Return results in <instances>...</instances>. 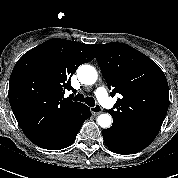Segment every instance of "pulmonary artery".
Segmentation results:
<instances>
[{
    "label": "pulmonary artery",
    "mask_w": 178,
    "mask_h": 178,
    "mask_svg": "<svg viewBox=\"0 0 178 178\" xmlns=\"http://www.w3.org/2000/svg\"><path fill=\"white\" fill-rule=\"evenodd\" d=\"M95 95L102 106L108 109H111L113 107V103L103 87L97 88L95 91Z\"/></svg>",
    "instance_id": "1"
}]
</instances>
